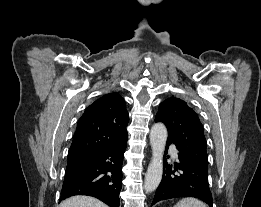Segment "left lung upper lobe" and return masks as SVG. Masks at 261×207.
<instances>
[{
	"label": "left lung upper lobe",
	"instance_id": "left-lung-upper-lobe-1",
	"mask_svg": "<svg viewBox=\"0 0 261 207\" xmlns=\"http://www.w3.org/2000/svg\"><path fill=\"white\" fill-rule=\"evenodd\" d=\"M155 122H163L169 132L168 143L197 164L207 168L208 155L203 126L198 114L187 103L171 97L159 105Z\"/></svg>",
	"mask_w": 261,
	"mask_h": 207
}]
</instances>
